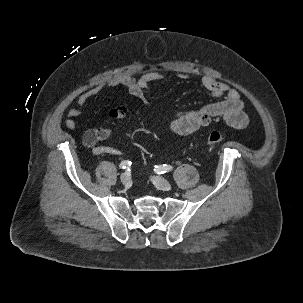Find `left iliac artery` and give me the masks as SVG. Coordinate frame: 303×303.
Returning <instances> with one entry per match:
<instances>
[{
  "label": "left iliac artery",
  "mask_w": 303,
  "mask_h": 303,
  "mask_svg": "<svg viewBox=\"0 0 303 303\" xmlns=\"http://www.w3.org/2000/svg\"><path fill=\"white\" fill-rule=\"evenodd\" d=\"M173 169V167L171 165H156L154 166V171L157 173V174H164L166 172H169Z\"/></svg>",
  "instance_id": "1"
}]
</instances>
